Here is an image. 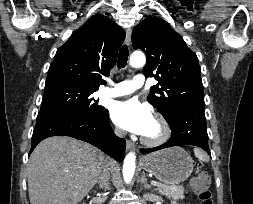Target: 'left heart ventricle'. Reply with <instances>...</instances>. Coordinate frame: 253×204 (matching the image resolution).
<instances>
[{
    "label": "left heart ventricle",
    "instance_id": "obj_1",
    "mask_svg": "<svg viewBox=\"0 0 253 204\" xmlns=\"http://www.w3.org/2000/svg\"><path fill=\"white\" fill-rule=\"evenodd\" d=\"M160 134V127L159 125L153 120L151 125L148 127L146 132L143 134V136L147 138H156Z\"/></svg>",
    "mask_w": 253,
    "mask_h": 204
}]
</instances>
